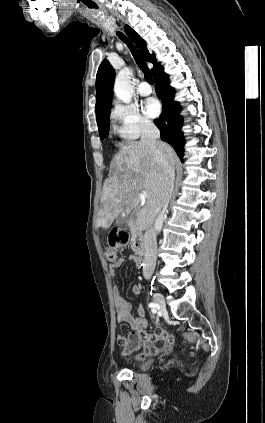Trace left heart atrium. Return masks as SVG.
Returning a JSON list of instances; mask_svg holds the SVG:
<instances>
[{
  "label": "left heart atrium",
  "mask_w": 265,
  "mask_h": 423,
  "mask_svg": "<svg viewBox=\"0 0 265 423\" xmlns=\"http://www.w3.org/2000/svg\"><path fill=\"white\" fill-rule=\"evenodd\" d=\"M144 111L150 117H157L161 112V105L155 98H149L145 102Z\"/></svg>",
  "instance_id": "obj_1"
}]
</instances>
